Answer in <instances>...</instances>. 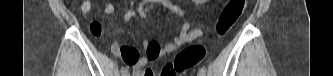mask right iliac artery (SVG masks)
Here are the masks:
<instances>
[{"label":"right iliac artery","mask_w":333,"mask_h":76,"mask_svg":"<svg viewBox=\"0 0 333 76\" xmlns=\"http://www.w3.org/2000/svg\"><path fill=\"white\" fill-rule=\"evenodd\" d=\"M121 73H122V75H123V74L128 73V71H127V69H126L125 67H122V68H121Z\"/></svg>","instance_id":"right-iliac-artery-1"}]
</instances>
